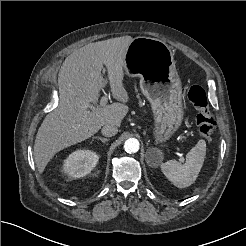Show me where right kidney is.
Returning a JSON list of instances; mask_svg holds the SVG:
<instances>
[{
    "label": "right kidney",
    "instance_id": "1",
    "mask_svg": "<svg viewBox=\"0 0 246 246\" xmlns=\"http://www.w3.org/2000/svg\"><path fill=\"white\" fill-rule=\"evenodd\" d=\"M98 160L99 156L91 150H76L64 160L63 171L73 178H80L89 174Z\"/></svg>",
    "mask_w": 246,
    "mask_h": 246
}]
</instances>
